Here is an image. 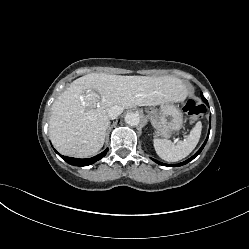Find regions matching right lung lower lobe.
<instances>
[{
    "label": "right lung lower lobe",
    "instance_id": "98d812e1",
    "mask_svg": "<svg viewBox=\"0 0 249 249\" xmlns=\"http://www.w3.org/2000/svg\"><path fill=\"white\" fill-rule=\"evenodd\" d=\"M55 152L60 155L56 150ZM108 152V149H106L105 151H103L102 153L92 157V158H88V159H78V158H71V157H66L63 155H60V157L65 160L67 163L74 165V166H87V165H91L94 162L100 160L101 158H103Z\"/></svg>",
    "mask_w": 249,
    "mask_h": 249
}]
</instances>
